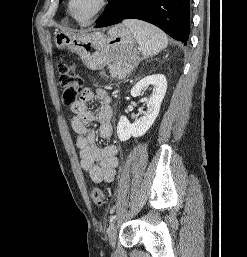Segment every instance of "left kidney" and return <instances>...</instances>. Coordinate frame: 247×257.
Here are the masks:
<instances>
[{
	"instance_id": "left-kidney-1",
	"label": "left kidney",
	"mask_w": 247,
	"mask_h": 257,
	"mask_svg": "<svg viewBox=\"0 0 247 257\" xmlns=\"http://www.w3.org/2000/svg\"><path fill=\"white\" fill-rule=\"evenodd\" d=\"M149 85L154 86L155 91L146 101L147 110L144 116L137 119L133 124L129 122L126 116L120 117L117 126V134L120 141H126L131 137L143 136L157 118L161 102L164 99L167 90V80L164 75L155 74L142 78L131 89V95L133 97L140 96L143 90Z\"/></svg>"
}]
</instances>
